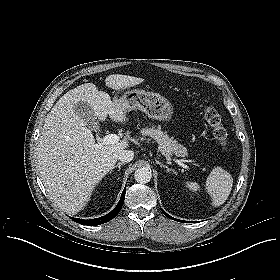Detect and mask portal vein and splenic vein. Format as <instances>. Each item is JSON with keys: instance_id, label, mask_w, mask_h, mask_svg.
Listing matches in <instances>:
<instances>
[{"instance_id": "obj_1", "label": "portal vein and splenic vein", "mask_w": 280, "mask_h": 280, "mask_svg": "<svg viewBox=\"0 0 280 280\" xmlns=\"http://www.w3.org/2000/svg\"><path fill=\"white\" fill-rule=\"evenodd\" d=\"M119 142V136L116 134H108L105 135L102 140L101 143L96 144L97 147H100L102 145H110V144H115ZM178 162L183 168L185 169H189V166L182 163L181 161H176Z\"/></svg>"}]
</instances>
